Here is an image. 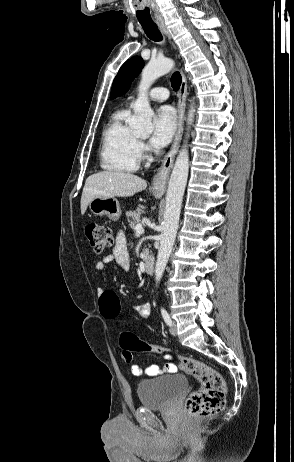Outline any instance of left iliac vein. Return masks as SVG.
<instances>
[{
  "mask_svg": "<svg viewBox=\"0 0 294 462\" xmlns=\"http://www.w3.org/2000/svg\"><path fill=\"white\" fill-rule=\"evenodd\" d=\"M170 333L173 335V336H176L177 335V324L175 322L172 323L171 327H170Z\"/></svg>",
  "mask_w": 294,
  "mask_h": 462,
  "instance_id": "4c4485c4",
  "label": "left iliac vein"
}]
</instances>
